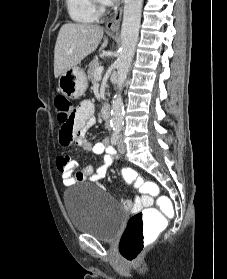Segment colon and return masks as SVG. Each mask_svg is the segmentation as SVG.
Returning a JSON list of instances; mask_svg holds the SVG:
<instances>
[{"label":"colon","mask_w":227,"mask_h":279,"mask_svg":"<svg viewBox=\"0 0 227 279\" xmlns=\"http://www.w3.org/2000/svg\"><path fill=\"white\" fill-rule=\"evenodd\" d=\"M57 120L61 125L60 136L63 140H68L74 131L79 127L75 125L76 111L74 103L65 96H57L55 99ZM124 178L138 189L148 191L147 196H157L160 188L156 183L145 180L135 170H128L124 173ZM162 200L160 196L159 201ZM169 216L160 209L144 208L135 213L128 221L119 245L121 256L127 261L136 260L143 250V243L146 237L154 236L163 229L164 223Z\"/></svg>","instance_id":"5ec220e1"}]
</instances>
